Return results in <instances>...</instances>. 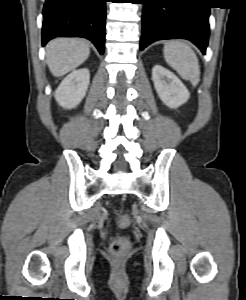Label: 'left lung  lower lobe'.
Masks as SVG:
<instances>
[{
    "instance_id": "0a47b994",
    "label": "left lung lower lobe",
    "mask_w": 246,
    "mask_h": 300,
    "mask_svg": "<svg viewBox=\"0 0 246 300\" xmlns=\"http://www.w3.org/2000/svg\"><path fill=\"white\" fill-rule=\"evenodd\" d=\"M140 50L163 39H187L205 54L210 7L205 0H142Z\"/></svg>"
}]
</instances>
